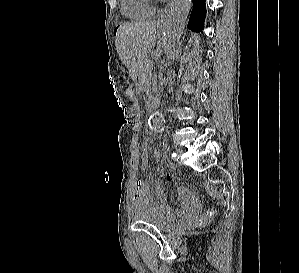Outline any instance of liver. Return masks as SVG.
Listing matches in <instances>:
<instances>
[{"label":"liver","instance_id":"6515ba94","mask_svg":"<svg viewBox=\"0 0 299 273\" xmlns=\"http://www.w3.org/2000/svg\"><path fill=\"white\" fill-rule=\"evenodd\" d=\"M156 38L155 21L127 22L120 25L115 45L120 60L133 79L139 75L140 65L154 48Z\"/></svg>","mask_w":299,"mask_h":273}]
</instances>
